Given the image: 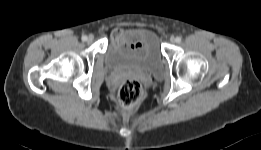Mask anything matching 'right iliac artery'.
Listing matches in <instances>:
<instances>
[{
  "label": "right iliac artery",
  "mask_w": 261,
  "mask_h": 150,
  "mask_svg": "<svg viewBox=\"0 0 261 150\" xmlns=\"http://www.w3.org/2000/svg\"><path fill=\"white\" fill-rule=\"evenodd\" d=\"M87 36L86 35H84V36H82V41H87Z\"/></svg>",
  "instance_id": "right-iliac-artery-1"
}]
</instances>
